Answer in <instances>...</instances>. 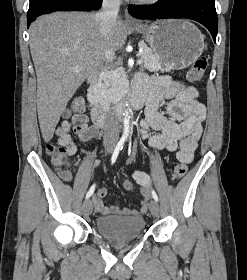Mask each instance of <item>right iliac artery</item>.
<instances>
[{
  "label": "right iliac artery",
  "instance_id": "right-iliac-artery-1",
  "mask_svg": "<svg viewBox=\"0 0 247 280\" xmlns=\"http://www.w3.org/2000/svg\"><path fill=\"white\" fill-rule=\"evenodd\" d=\"M124 143H125V138L122 137L119 140V142L117 143V145H116V147L114 149V152L112 154V157H111V163L112 164L115 163V161H116V159L118 157L119 152L123 149ZM94 191H95V184H93L90 187L89 191L86 194V199L90 198L92 196V194L94 193Z\"/></svg>",
  "mask_w": 247,
  "mask_h": 280
}]
</instances>
